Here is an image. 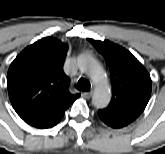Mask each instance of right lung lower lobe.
Here are the masks:
<instances>
[{
  "mask_svg": "<svg viewBox=\"0 0 165 154\" xmlns=\"http://www.w3.org/2000/svg\"><path fill=\"white\" fill-rule=\"evenodd\" d=\"M77 98H65L54 106L28 118L23 119L26 123L36 128H51L59 123L62 119L65 110Z\"/></svg>",
  "mask_w": 165,
  "mask_h": 154,
  "instance_id": "right-lung-lower-lobe-1",
  "label": "right lung lower lobe"
}]
</instances>
